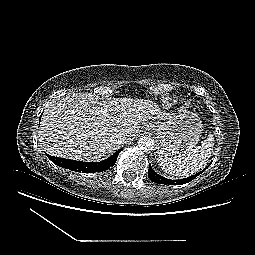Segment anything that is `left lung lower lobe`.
<instances>
[{"instance_id": "1", "label": "left lung lower lobe", "mask_w": 255, "mask_h": 255, "mask_svg": "<svg viewBox=\"0 0 255 255\" xmlns=\"http://www.w3.org/2000/svg\"><path fill=\"white\" fill-rule=\"evenodd\" d=\"M209 165L206 167L208 168ZM206 168L204 170H206ZM204 170H202L201 172L195 174V175H192L190 177H187V178H183V179H180V180H171V179H167L159 174H157L152 168L151 166H149V170H148V176L149 178L155 182V183H159V184H169V185H172V184H176V185H181V184H185V183H188L190 182L191 180H193L194 178H196L198 175H200L202 172H204Z\"/></svg>"}]
</instances>
